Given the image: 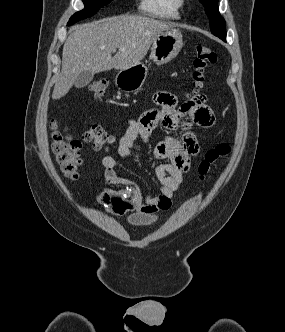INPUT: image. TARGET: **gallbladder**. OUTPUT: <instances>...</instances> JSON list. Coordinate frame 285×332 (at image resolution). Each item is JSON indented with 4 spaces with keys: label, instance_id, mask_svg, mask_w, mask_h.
<instances>
[{
    "label": "gallbladder",
    "instance_id": "1",
    "mask_svg": "<svg viewBox=\"0 0 285 332\" xmlns=\"http://www.w3.org/2000/svg\"><path fill=\"white\" fill-rule=\"evenodd\" d=\"M93 77H94V73H92L90 71H84L77 77L74 85L78 89L84 88L92 81Z\"/></svg>",
    "mask_w": 285,
    "mask_h": 332
}]
</instances>
